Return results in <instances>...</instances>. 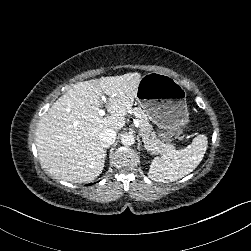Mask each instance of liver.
<instances>
[{"label":"liver","instance_id":"obj_1","mask_svg":"<svg viewBox=\"0 0 251 251\" xmlns=\"http://www.w3.org/2000/svg\"><path fill=\"white\" fill-rule=\"evenodd\" d=\"M141 74L101 77L79 82L58 98L41 117L36 129V146L47 171L64 181L87 183L104 168L105 151L99 140L105 129L118 131L132 109ZM106 94L102 117L101 97Z\"/></svg>","mask_w":251,"mask_h":251}]
</instances>
